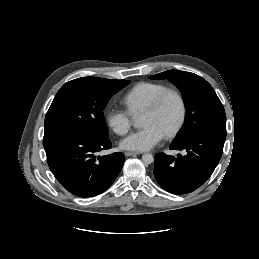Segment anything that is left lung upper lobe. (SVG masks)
Listing matches in <instances>:
<instances>
[{"instance_id":"5c2ea615","label":"left lung upper lobe","mask_w":259,"mask_h":259,"mask_svg":"<svg viewBox=\"0 0 259 259\" xmlns=\"http://www.w3.org/2000/svg\"><path fill=\"white\" fill-rule=\"evenodd\" d=\"M168 79L181 91L186 106L185 122L174 143L204 129L226 131V115L212 86L202 77L179 70H169L150 77Z\"/></svg>"}]
</instances>
